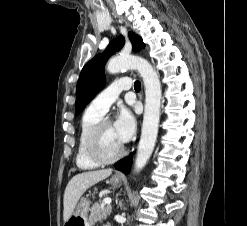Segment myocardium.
I'll return each mask as SVG.
<instances>
[{
	"label": "myocardium",
	"instance_id": "f54148a6",
	"mask_svg": "<svg viewBox=\"0 0 247 226\" xmlns=\"http://www.w3.org/2000/svg\"><path fill=\"white\" fill-rule=\"evenodd\" d=\"M111 124L108 120H100L88 133L85 140V150L87 156L99 165L112 164L118 161L125 153V147L121 149L112 157H104L98 149V139L103 128Z\"/></svg>",
	"mask_w": 247,
	"mask_h": 226
}]
</instances>
